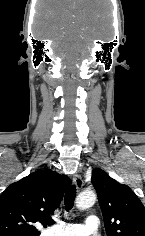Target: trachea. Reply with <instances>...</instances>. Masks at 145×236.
I'll return each instance as SVG.
<instances>
[{"mask_svg": "<svg viewBox=\"0 0 145 236\" xmlns=\"http://www.w3.org/2000/svg\"><path fill=\"white\" fill-rule=\"evenodd\" d=\"M75 196H76V187L70 186L67 189L65 197H64V204H65L66 211H69L73 208Z\"/></svg>", "mask_w": 145, "mask_h": 236, "instance_id": "obj_1", "label": "trachea"}]
</instances>
